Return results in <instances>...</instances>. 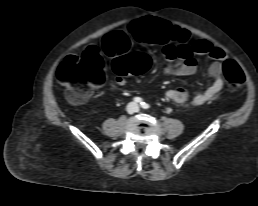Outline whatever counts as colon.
I'll return each instance as SVG.
<instances>
[{"label": "colon", "instance_id": "5ec220e1", "mask_svg": "<svg viewBox=\"0 0 258 206\" xmlns=\"http://www.w3.org/2000/svg\"><path fill=\"white\" fill-rule=\"evenodd\" d=\"M149 67L150 58L142 53H133L115 61V70L122 75H141ZM223 75L232 90L239 89L245 82L243 71L232 60L223 63ZM56 77L66 88L68 100L81 104L91 96L94 89L104 83L103 60L96 48H89L80 56H68L59 65Z\"/></svg>", "mask_w": 258, "mask_h": 206}]
</instances>
